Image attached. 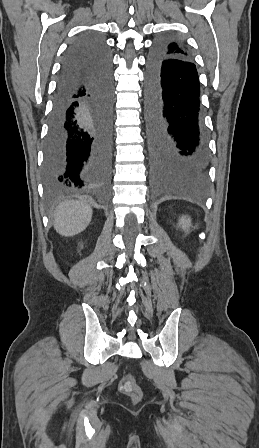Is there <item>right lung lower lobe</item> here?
Wrapping results in <instances>:
<instances>
[{
    "label": "right lung lower lobe",
    "instance_id": "1",
    "mask_svg": "<svg viewBox=\"0 0 259 448\" xmlns=\"http://www.w3.org/2000/svg\"><path fill=\"white\" fill-rule=\"evenodd\" d=\"M113 75L105 40L86 33L69 46L44 145L50 186H105L113 152Z\"/></svg>",
    "mask_w": 259,
    "mask_h": 448
}]
</instances>
